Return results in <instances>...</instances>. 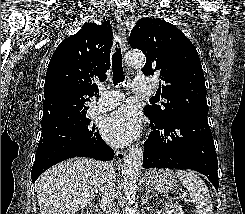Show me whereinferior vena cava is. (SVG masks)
<instances>
[{
	"label": "inferior vena cava",
	"instance_id": "obj_1",
	"mask_svg": "<svg viewBox=\"0 0 245 214\" xmlns=\"http://www.w3.org/2000/svg\"><path fill=\"white\" fill-rule=\"evenodd\" d=\"M116 175L112 163H106L104 173L99 186L101 196V206L106 214H117L113 209V203L116 198Z\"/></svg>",
	"mask_w": 245,
	"mask_h": 214
}]
</instances>
